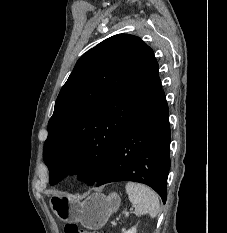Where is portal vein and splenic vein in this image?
I'll return each instance as SVG.
<instances>
[{
    "mask_svg": "<svg viewBox=\"0 0 227 233\" xmlns=\"http://www.w3.org/2000/svg\"><path fill=\"white\" fill-rule=\"evenodd\" d=\"M125 215H126V217H128L129 216V212H126Z\"/></svg>",
    "mask_w": 227,
    "mask_h": 233,
    "instance_id": "obj_1",
    "label": "portal vein and splenic vein"
}]
</instances>
